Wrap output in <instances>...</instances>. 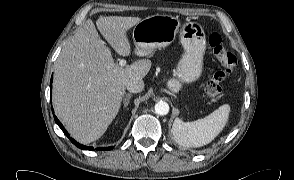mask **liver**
<instances>
[{
    "label": "liver",
    "mask_w": 294,
    "mask_h": 180,
    "mask_svg": "<svg viewBox=\"0 0 294 180\" xmlns=\"http://www.w3.org/2000/svg\"><path fill=\"white\" fill-rule=\"evenodd\" d=\"M139 17H100L96 25L111 47L122 56L131 53L126 32ZM150 60L125 68L114 62L92 20L66 41L54 64L52 101L55 113L71 136L82 144L99 139L116 117L127 82L143 79Z\"/></svg>",
    "instance_id": "liver-1"
}]
</instances>
